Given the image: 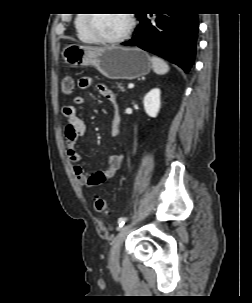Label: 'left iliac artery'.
<instances>
[{
	"label": "left iliac artery",
	"mask_w": 252,
	"mask_h": 303,
	"mask_svg": "<svg viewBox=\"0 0 252 303\" xmlns=\"http://www.w3.org/2000/svg\"><path fill=\"white\" fill-rule=\"evenodd\" d=\"M126 220L127 218H119L118 220L119 228H121L125 224Z\"/></svg>",
	"instance_id": "obj_1"
}]
</instances>
